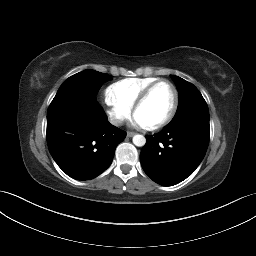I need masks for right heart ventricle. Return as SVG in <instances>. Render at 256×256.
Masks as SVG:
<instances>
[{"label":"right heart ventricle","mask_w":256,"mask_h":256,"mask_svg":"<svg viewBox=\"0 0 256 256\" xmlns=\"http://www.w3.org/2000/svg\"><path fill=\"white\" fill-rule=\"evenodd\" d=\"M157 80L154 77L123 79L111 84L106 90V96L111 102L131 109L143 90Z\"/></svg>","instance_id":"obj_1"}]
</instances>
